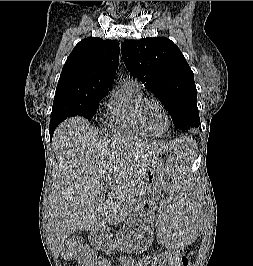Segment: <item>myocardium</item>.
<instances>
[{"mask_svg": "<svg viewBox=\"0 0 253 266\" xmlns=\"http://www.w3.org/2000/svg\"><path fill=\"white\" fill-rule=\"evenodd\" d=\"M148 103H155L157 104L161 109L162 111L164 112L165 114V117H166V120H167V128L165 130V132L163 134H154L152 133L151 131H149V129L144 125L143 123V119H142V113H143V109L144 107L148 104ZM135 120H136V123L138 125V127L147 135V136H150V137H156V138H161V137H164L168 134V132L170 131V128H171V120H170V116H169V113L165 107V105L159 101L158 99L156 98H152V97H144L142 98L137 106H136V109H135Z\"/></svg>", "mask_w": 253, "mask_h": 266, "instance_id": "obj_1", "label": "myocardium"}]
</instances>
